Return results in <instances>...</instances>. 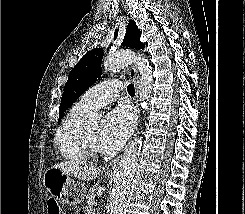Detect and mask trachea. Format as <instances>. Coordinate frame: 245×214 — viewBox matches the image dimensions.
<instances>
[{
    "label": "trachea",
    "instance_id": "obj_1",
    "mask_svg": "<svg viewBox=\"0 0 245 214\" xmlns=\"http://www.w3.org/2000/svg\"><path fill=\"white\" fill-rule=\"evenodd\" d=\"M127 91H128V93H129L130 96H134L135 95L134 85L129 84L128 87H127Z\"/></svg>",
    "mask_w": 245,
    "mask_h": 214
}]
</instances>
